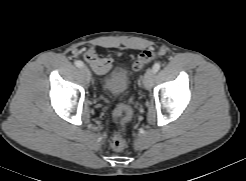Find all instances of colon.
<instances>
[{"mask_svg": "<svg viewBox=\"0 0 246 181\" xmlns=\"http://www.w3.org/2000/svg\"><path fill=\"white\" fill-rule=\"evenodd\" d=\"M155 57V54L151 51L145 50L138 54L134 63L133 69L138 71L143 69L146 65H148ZM115 115L121 117V124L125 126V124L132 117V110L127 105H122L118 107L115 111ZM109 146L114 151H121L125 147V139L121 134L113 135L109 140Z\"/></svg>", "mask_w": 246, "mask_h": 181, "instance_id": "1", "label": "colon"}]
</instances>
